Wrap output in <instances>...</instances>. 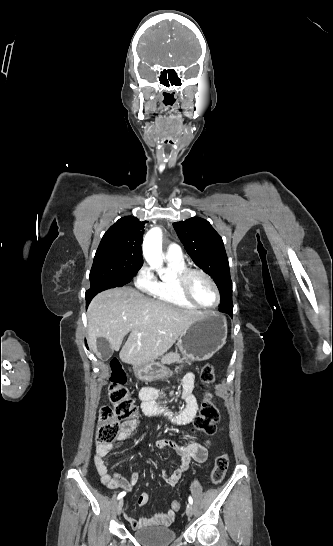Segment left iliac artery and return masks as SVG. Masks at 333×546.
<instances>
[{"mask_svg":"<svg viewBox=\"0 0 333 546\" xmlns=\"http://www.w3.org/2000/svg\"><path fill=\"white\" fill-rule=\"evenodd\" d=\"M188 501L190 504H193V498L191 496H189Z\"/></svg>","mask_w":333,"mask_h":546,"instance_id":"left-iliac-artery-1","label":"left iliac artery"}]
</instances>
